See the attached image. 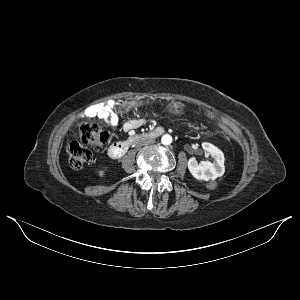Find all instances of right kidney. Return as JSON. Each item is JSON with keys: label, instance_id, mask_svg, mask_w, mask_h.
<instances>
[{"label": "right kidney", "instance_id": "right-kidney-1", "mask_svg": "<svg viewBox=\"0 0 300 300\" xmlns=\"http://www.w3.org/2000/svg\"><path fill=\"white\" fill-rule=\"evenodd\" d=\"M106 169H107V168H105L104 170L99 171V172H98V175H99V176H103Z\"/></svg>", "mask_w": 300, "mask_h": 300}]
</instances>
